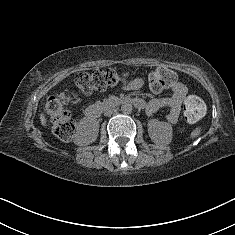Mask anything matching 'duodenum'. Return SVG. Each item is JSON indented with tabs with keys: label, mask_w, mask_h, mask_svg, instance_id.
<instances>
[{
	"label": "duodenum",
	"mask_w": 235,
	"mask_h": 235,
	"mask_svg": "<svg viewBox=\"0 0 235 235\" xmlns=\"http://www.w3.org/2000/svg\"><path fill=\"white\" fill-rule=\"evenodd\" d=\"M123 102L134 104L137 108H142L143 104L140 100L125 98ZM101 113V108L98 105H90L86 109V116L88 118H97Z\"/></svg>",
	"instance_id": "duodenum-1"
}]
</instances>
